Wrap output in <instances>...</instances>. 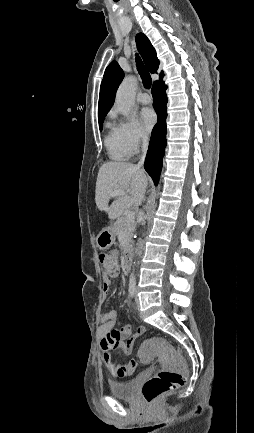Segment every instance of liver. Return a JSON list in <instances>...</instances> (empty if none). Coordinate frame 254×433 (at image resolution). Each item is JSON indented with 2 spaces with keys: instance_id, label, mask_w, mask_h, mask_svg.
Returning <instances> with one entry per match:
<instances>
[{
  "instance_id": "1",
  "label": "liver",
  "mask_w": 254,
  "mask_h": 433,
  "mask_svg": "<svg viewBox=\"0 0 254 433\" xmlns=\"http://www.w3.org/2000/svg\"><path fill=\"white\" fill-rule=\"evenodd\" d=\"M148 183L143 170L132 163L108 162L98 172L95 202L100 211H105L109 219H116L124 210L141 204ZM122 191L125 195L116 196L109 205L111 194Z\"/></svg>"
}]
</instances>
